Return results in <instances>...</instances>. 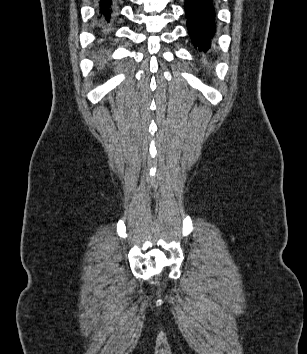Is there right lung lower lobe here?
<instances>
[{"mask_svg":"<svg viewBox=\"0 0 307 354\" xmlns=\"http://www.w3.org/2000/svg\"><path fill=\"white\" fill-rule=\"evenodd\" d=\"M115 2L113 0H99L98 2V15L97 19L101 23H109L113 17V8Z\"/></svg>","mask_w":307,"mask_h":354,"instance_id":"obj_1","label":"right lung lower lobe"}]
</instances>
